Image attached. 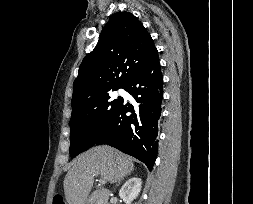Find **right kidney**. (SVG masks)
Returning a JSON list of instances; mask_svg holds the SVG:
<instances>
[{"label":"right kidney","instance_id":"ca27d5eb","mask_svg":"<svg viewBox=\"0 0 253 204\" xmlns=\"http://www.w3.org/2000/svg\"><path fill=\"white\" fill-rule=\"evenodd\" d=\"M142 181L140 178L133 177L126 181L119 191V196L124 200L126 204L137 198L141 191Z\"/></svg>","mask_w":253,"mask_h":204}]
</instances>
